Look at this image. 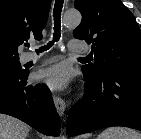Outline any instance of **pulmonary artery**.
Masks as SVG:
<instances>
[{
	"label": "pulmonary artery",
	"mask_w": 141,
	"mask_h": 139,
	"mask_svg": "<svg viewBox=\"0 0 141 139\" xmlns=\"http://www.w3.org/2000/svg\"><path fill=\"white\" fill-rule=\"evenodd\" d=\"M69 49L72 52H76V53H86L89 51L88 46L77 41H71L69 43ZM42 57H43L42 55H37L35 53H26L22 56V60L24 62L37 61L40 60Z\"/></svg>",
	"instance_id": "obj_1"
}]
</instances>
